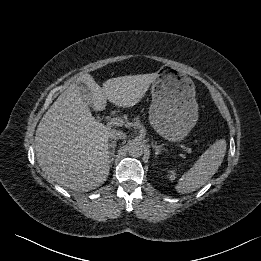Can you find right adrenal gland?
<instances>
[{"instance_id": "1", "label": "right adrenal gland", "mask_w": 261, "mask_h": 261, "mask_svg": "<svg viewBox=\"0 0 261 261\" xmlns=\"http://www.w3.org/2000/svg\"><path fill=\"white\" fill-rule=\"evenodd\" d=\"M116 140H113L109 146H108V151H109V164L112 166L113 160H114V153H115V147H116Z\"/></svg>"}]
</instances>
